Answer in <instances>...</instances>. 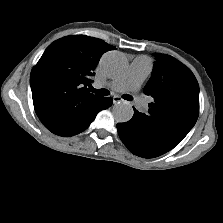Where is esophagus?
I'll return each instance as SVG.
<instances>
[{
    "instance_id": "34e87169",
    "label": "esophagus",
    "mask_w": 223,
    "mask_h": 223,
    "mask_svg": "<svg viewBox=\"0 0 223 223\" xmlns=\"http://www.w3.org/2000/svg\"><path fill=\"white\" fill-rule=\"evenodd\" d=\"M122 101V99L118 96L113 97V103L116 104L118 102Z\"/></svg>"
}]
</instances>
